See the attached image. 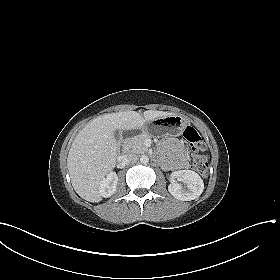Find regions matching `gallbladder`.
Here are the masks:
<instances>
[{
    "instance_id": "1",
    "label": "gallbladder",
    "mask_w": 280,
    "mask_h": 280,
    "mask_svg": "<svg viewBox=\"0 0 280 280\" xmlns=\"http://www.w3.org/2000/svg\"><path fill=\"white\" fill-rule=\"evenodd\" d=\"M114 136H115V138H116L117 141H120V131H119V130H116V131L114 132Z\"/></svg>"
}]
</instances>
